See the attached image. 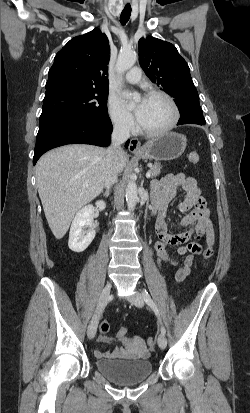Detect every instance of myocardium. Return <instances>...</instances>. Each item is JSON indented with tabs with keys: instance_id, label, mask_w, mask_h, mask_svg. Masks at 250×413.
I'll return each mask as SVG.
<instances>
[{
	"instance_id": "f54148a6",
	"label": "myocardium",
	"mask_w": 250,
	"mask_h": 413,
	"mask_svg": "<svg viewBox=\"0 0 250 413\" xmlns=\"http://www.w3.org/2000/svg\"><path fill=\"white\" fill-rule=\"evenodd\" d=\"M147 96L148 97H160L164 99L165 101H167L172 109L173 117H172L171 122L163 129L156 130V131L147 130L140 123L138 124V129L143 135L147 137H160V136L166 135L167 133H169L176 127L180 119L179 108L175 100L168 93L162 90H151L148 92Z\"/></svg>"
}]
</instances>
